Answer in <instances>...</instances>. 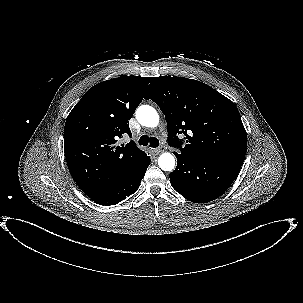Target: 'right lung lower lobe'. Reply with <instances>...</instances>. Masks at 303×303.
Returning a JSON list of instances; mask_svg holds the SVG:
<instances>
[{
  "label": "right lung lower lobe",
  "instance_id": "1",
  "mask_svg": "<svg viewBox=\"0 0 303 303\" xmlns=\"http://www.w3.org/2000/svg\"><path fill=\"white\" fill-rule=\"evenodd\" d=\"M149 164L150 157L147 156L143 163L126 180L111 190L91 198V200L105 206L118 204L137 191Z\"/></svg>",
  "mask_w": 303,
  "mask_h": 303
}]
</instances>
